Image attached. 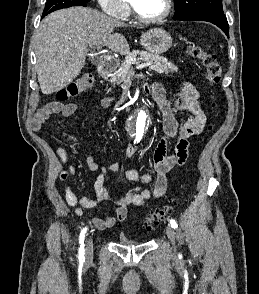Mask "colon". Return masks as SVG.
<instances>
[{"label": "colon", "instance_id": "colon-1", "mask_svg": "<svg viewBox=\"0 0 259 294\" xmlns=\"http://www.w3.org/2000/svg\"><path fill=\"white\" fill-rule=\"evenodd\" d=\"M190 54L201 60L205 70H206V79L208 84L211 87L218 85L221 81L222 68L220 63L217 60V57L210 52L204 51L199 46H191ZM93 75L89 72H86L71 82L65 89L60 91L57 95L58 100L65 101L67 99L76 97L89 89L93 84ZM216 104L213 103V107ZM174 199H170L169 202L162 207L156 209L151 214L147 216L144 222V227L147 231L151 230L154 226L158 225L163 221L166 216L172 211V204Z\"/></svg>", "mask_w": 259, "mask_h": 294}]
</instances>
